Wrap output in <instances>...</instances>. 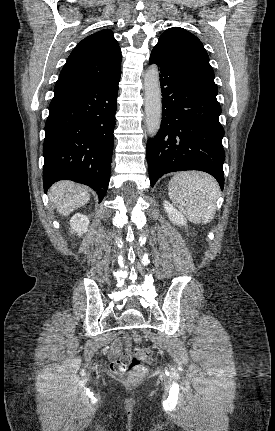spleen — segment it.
<instances>
[{
    "mask_svg": "<svg viewBox=\"0 0 275 431\" xmlns=\"http://www.w3.org/2000/svg\"><path fill=\"white\" fill-rule=\"evenodd\" d=\"M168 193L174 205L192 223L207 224L213 220L220 188L211 175L200 171L177 173L169 182Z\"/></svg>",
    "mask_w": 275,
    "mask_h": 431,
    "instance_id": "3e777b00",
    "label": "spleen"
}]
</instances>
